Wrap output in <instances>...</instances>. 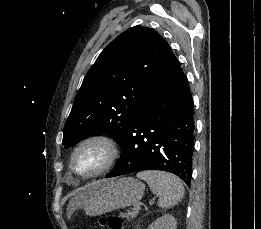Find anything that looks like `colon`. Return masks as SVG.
Returning a JSON list of instances; mask_svg holds the SVG:
<instances>
[{
	"mask_svg": "<svg viewBox=\"0 0 261 229\" xmlns=\"http://www.w3.org/2000/svg\"><path fill=\"white\" fill-rule=\"evenodd\" d=\"M100 225L106 226L108 229H125L127 223L119 216H112L108 220L101 219ZM88 229H94L93 226H89Z\"/></svg>",
	"mask_w": 261,
	"mask_h": 229,
	"instance_id": "colon-1",
	"label": "colon"
}]
</instances>
